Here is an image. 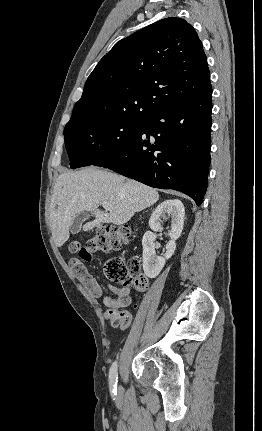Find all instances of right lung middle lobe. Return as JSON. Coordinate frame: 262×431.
Instances as JSON below:
<instances>
[{
    "label": "right lung middle lobe",
    "instance_id": "obj_1",
    "mask_svg": "<svg viewBox=\"0 0 262 431\" xmlns=\"http://www.w3.org/2000/svg\"><path fill=\"white\" fill-rule=\"evenodd\" d=\"M145 118L116 117L66 126L65 147L71 168L93 165L132 139Z\"/></svg>",
    "mask_w": 262,
    "mask_h": 431
}]
</instances>
